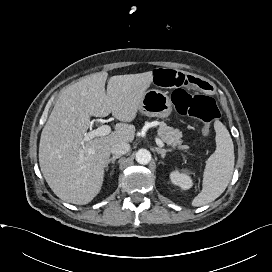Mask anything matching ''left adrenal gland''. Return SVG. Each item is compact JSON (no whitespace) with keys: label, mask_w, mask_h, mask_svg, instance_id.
Here are the masks:
<instances>
[{"label":"left adrenal gland","mask_w":272,"mask_h":272,"mask_svg":"<svg viewBox=\"0 0 272 272\" xmlns=\"http://www.w3.org/2000/svg\"><path fill=\"white\" fill-rule=\"evenodd\" d=\"M156 151L158 154L161 155L162 158H165L166 153L171 152L172 150L171 149H161V148L156 147Z\"/></svg>","instance_id":"left-adrenal-gland-1"}]
</instances>
